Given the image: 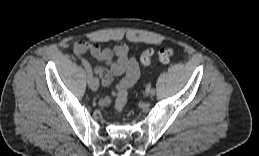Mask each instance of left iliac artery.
Here are the masks:
<instances>
[{
	"mask_svg": "<svg viewBox=\"0 0 259 156\" xmlns=\"http://www.w3.org/2000/svg\"><path fill=\"white\" fill-rule=\"evenodd\" d=\"M151 94H152V95H155V94H156V88H155V87H153V88L151 89Z\"/></svg>",
	"mask_w": 259,
	"mask_h": 156,
	"instance_id": "obj_1",
	"label": "left iliac artery"
}]
</instances>
